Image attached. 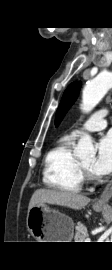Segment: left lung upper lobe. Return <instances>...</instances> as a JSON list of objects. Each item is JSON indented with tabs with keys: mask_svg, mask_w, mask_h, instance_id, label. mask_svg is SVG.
Listing matches in <instances>:
<instances>
[{
	"mask_svg": "<svg viewBox=\"0 0 112 270\" xmlns=\"http://www.w3.org/2000/svg\"><path fill=\"white\" fill-rule=\"evenodd\" d=\"M81 82H73L71 83L67 89L65 90L61 103L58 107V110L56 112L55 116V126H58V124L61 122L62 118L68 111L69 107L74 103V101L77 99L79 94V87Z\"/></svg>",
	"mask_w": 112,
	"mask_h": 270,
	"instance_id": "1",
	"label": "left lung upper lobe"
}]
</instances>
